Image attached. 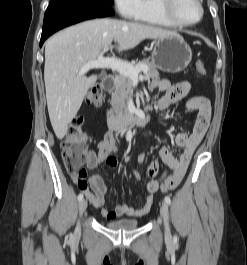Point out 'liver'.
Returning a JSON list of instances; mask_svg holds the SVG:
<instances>
[{
  "mask_svg": "<svg viewBox=\"0 0 247 265\" xmlns=\"http://www.w3.org/2000/svg\"><path fill=\"white\" fill-rule=\"evenodd\" d=\"M175 34L142 23L104 18L84 21L52 36L45 45L44 81L48 113L57 138L65 136L68 124L97 80V75H79L84 63L96 60L105 48L115 47L120 53L144 39Z\"/></svg>",
  "mask_w": 247,
  "mask_h": 265,
  "instance_id": "6515ba94",
  "label": "liver"
}]
</instances>
